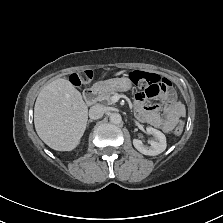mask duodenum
<instances>
[{
    "label": "duodenum",
    "instance_id": "duodenum-1",
    "mask_svg": "<svg viewBox=\"0 0 223 223\" xmlns=\"http://www.w3.org/2000/svg\"><path fill=\"white\" fill-rule=\"evenodd\" d=\"M104 93L102 84L97 83L92 88L84 93V100L87 104L92 105L97 100L98 96Z\"/></svg>",
    "mask_w": 223,
    "mask_h": 223
}]
</instances>
